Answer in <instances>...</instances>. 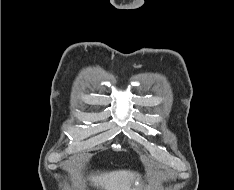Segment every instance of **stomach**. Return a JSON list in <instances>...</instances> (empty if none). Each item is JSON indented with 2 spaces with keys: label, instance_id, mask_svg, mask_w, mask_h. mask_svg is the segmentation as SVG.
Here are the masks:
<instances>
[{
  "label": "stomach",
  "instance_id": "stomach-1",
  "mask_svg": "<svg viewBox=\"0 0 234 190\" xmlns=\"http://www.w3.org/2000/svg\"><path fill=\"white\" fill-rule=\"evenodd\" d=\"M130 190H143L141 187H132Z\"/></svg>",
  "mask_w": 234,
  "mask_h": 190
}]
</instances>
